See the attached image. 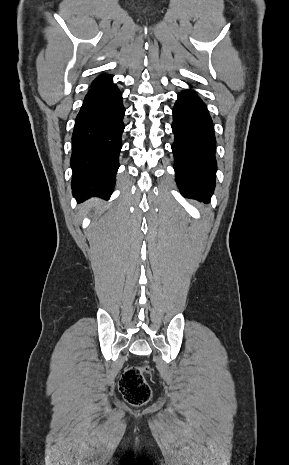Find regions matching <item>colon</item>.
Listing matches in <instances>:
<instances>
[{
    "mask_svg": "<svg viewBox=\"0 0 289 465\" xmlns=\"http://www.w3.org/2000/svg\"><path fill=\"white\" fill-rule=\"evenodd\" d=\"M149 373L148 366H133L123 373L119 390L131 405L140 406L149 401L151 389L145 378Z\"/></svg>",
    "mask_w": 289,
    "mask_h": 465,
    "instance_id": "5ec220e1",
    "label": "colon"
}]
</instances>
